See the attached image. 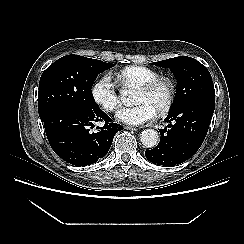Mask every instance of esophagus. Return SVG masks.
<instances>
[{
	"instance_id": "1",
	"label": "esophagus",
	"mask_w": 244,
	"mask_h": 244,
	"mask_svg": "<svg viewBox=\"0 0 244 244\" xmlns=\"http://www.w3.org/2000/svg\"><path fill=\"white\" fill-rule=\"evenodd\" d=\"M125 129L132 130V131H137L139 128L137 127H132V126H126Z\"/></svg>"
}]
</instances>
